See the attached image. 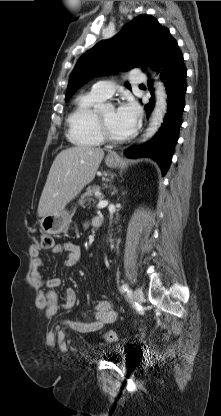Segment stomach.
Wrapping results in <instances>:
<instances>
[{"instance_id":"1","label":"stomach","mask_w":221,"mask_h":416,"mask_svg":"<svg viewBox=\"0 0 221 416\" xmlns=\"http://www.w3.org/2000/svg\"><path fill=\"white\" fill-rule=\"evenodd\" d=\"M105 163L110 168H116L120 163V159L116 158L111 160L110 158H106ZM71 218L68 211L61 210L57 213L43 217L40 220V227L44 233L51 235L66 233L72 222Z\"/></svg>"}]
</instances>
